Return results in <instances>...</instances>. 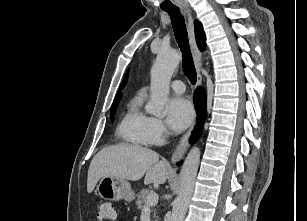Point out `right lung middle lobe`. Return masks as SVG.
<instances>
[{
	"label": "right lung middle lobe",
	"mask_w": 307,
	"mask_h": 221,
	"mask_svg": "<svg viewBox=\"0 0 307 221\" xmlns=\"http://www.w3.org/2000/svg\"><path fill=\"white\" fill-rule=\"evenodd\" d=\"M118 101L113 102L111 107V120L113 121Z\"/></svg>",
	"instance_id": "dd1d6c3e"
}]
</instances>
